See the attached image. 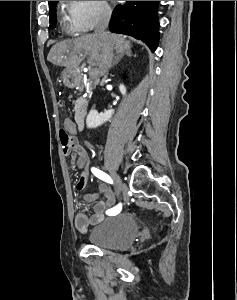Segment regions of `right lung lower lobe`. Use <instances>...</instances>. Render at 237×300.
Segmentation results:
<instances>
[{"instance_id":"98d812e1","label":"right lung lower lobe","mask_w":237,"mask_h":300,"mask_svg":"<svg viewBox=\"0 0 237 300\" xmlns=\"http://www.w3.org/2000/svg\"><path fill=\"white\" fill-rule=\"evenodd\" d=\"M158 1H128L118 5L112 14L111 32L133 36L155 50L159 39Z\"/></svg>"}]
</instances>
